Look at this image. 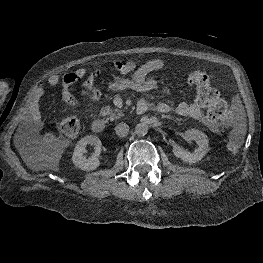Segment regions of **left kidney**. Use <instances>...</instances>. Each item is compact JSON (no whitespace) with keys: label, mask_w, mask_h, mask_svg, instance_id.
I'll return each mask as SVG.
<instances>
[{"label":"left kidney","mask_w":263,"mask_h":263,"mask_svg":"<svg viewBox=\"0 0 263 263\" xmlns=\"http://www.w3.org/2000/svg\"><path fill=\"white\" fill-rule=\"evenodd\" d=\"M184 136L188 141H196L198 148H196L191 153L187 150H184V148L180 147L179 145H174L173 153L177 158H180L185 162L196 163L201 160L208 152L209 139L205 133L197 129H189L185 131Z\"/></svg>","instance_id":"obj_1"}]
</instances>
